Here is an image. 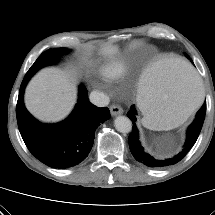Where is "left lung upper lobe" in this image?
<instances>
[{"label":"left lung upper lobe","instance_id":"5c2ea615","mask_svg":"<svg viewBox=\"0 0 215 215\" xmlns=\"http://www.w3.org/2000/svg\"><path fill=\"white\" fill-rule=\"evenodd\" d=\"M186 57H187V58H189V56H188V55H186ZM191 62H192V60H191Z\"/></svg>","mask_w":215,"mask_h":215}]
</instances>
